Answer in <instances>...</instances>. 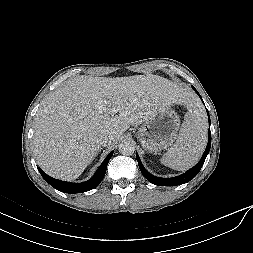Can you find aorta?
Returning a JSON list of instances; mask_svg holds the SVG:
<instances>
[{
	"instance_id": "aorta-1",
	"label": "aorta",
	"mask_w": 253,
	"mask_h": 253,
	"mask_svg": "<svg viewBox=\"0 0 253 253\" xmlns=\"http://www.w3.org/2000/svg\"><path fill=\"white\" fill-rule=\"evenodd\" d=\"M119 152L122 155H132L135 151V145L132 141L130 140H123L119 146Z\"/></svg>"
}]
</instances>
